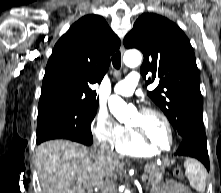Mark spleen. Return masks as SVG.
I'll use <instances>...</instances> for the list:
<instances>
[{"instance_id": "1", "label": "spleen", "mask_w": 221, "mask_h": 193, "mask_svg": "<svg viewBox=\"0 0 221 193\" xmlns=\"http://www.w3.org/2000/svg\"><path fill=\"white\" fill-rule=\"evenodd\" d=\"M184 167L190 186L198 192H204L206 188V172L202 164L197 160L187 159Z\"/></svg>"}]
</instances>
